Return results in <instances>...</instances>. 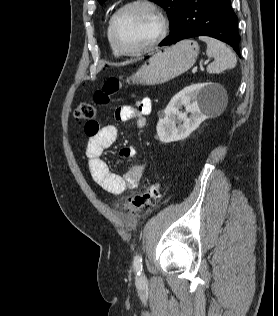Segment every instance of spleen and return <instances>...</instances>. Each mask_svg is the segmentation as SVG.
I'll return each mask as SVG.
<instances>
[{
    "instance_id": "spleen-1",
    "label": "spleen",
    "mask_w": 278,
    "mask_h": 316,
    "mask_svg": "<svg viewBox=\"0 0 278 316\" xmlns=\"http://www.w3.org/2000/svg\"><path fill=\"white\" fill-rule=\"evenodd\" d=\"M199 39L207 44V56L214 58V61L207 67L209 73H220L236 66V56L226 44L207 36H200Z\"/></svg>"
}]
</instances>
